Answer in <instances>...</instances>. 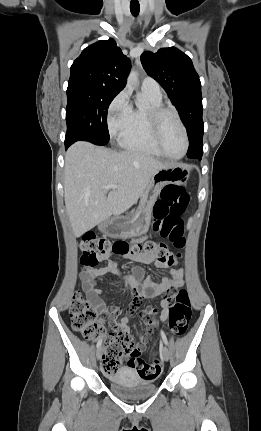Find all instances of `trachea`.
I'll use <instances>...</instances> for the list:
<instances>
[{
	"instance_id": "trachea-1",
	"label": "trachea",
	"mask_w": 261,
	"mask_h": 431,
	"mask_svg": "<svg viewBox=\"0 0 261 431\" xmlns=\"http://www.w3.org/2000/svg\"><path fill=\"white\" fill-rule=\"evenodd\" d=\"M130 11L134 17H137L139 15V11H140L139 3H131L130 4Z\"/></svg>"
}]
</instances>
